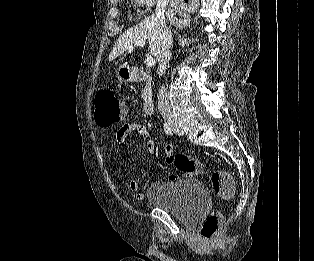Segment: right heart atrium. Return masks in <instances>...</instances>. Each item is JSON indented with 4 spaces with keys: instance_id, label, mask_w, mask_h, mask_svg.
Listing matches in <instances>:
<instances>
[{
    "instance_id": "d8ad5b80",
    "label": "right heart atrium",
    "mask_w": 314,
    "mask_h": 261,
    "mask_svg": "<svg viewBox=\"0 0 314 261\" xmlns=\"http://www.w3.org/2000/svg\"><path fill=\"white\" fill-rule=\"evenodd\" d=\"M136 4L144 11H149L153 6L162 0H135Z\"/></svg>"
}]
</instances>
